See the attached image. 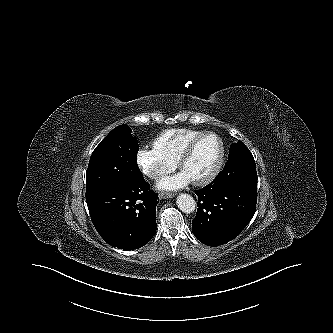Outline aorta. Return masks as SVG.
Listing matches in <instances>:
<instances>
[{
  "mask_svg": "<svg viewBox=\"0 0 333 333\" xmlns=\"http://www.w3.org/2000/svg\"><path fill=\"white\" fill-rule=\"evenodd\" d=\"M178 208L184 213H191L195 210V200L189 194H180L176 200Z\"/></svg>",
  "mask_w": 333,
  "mask_h": 333,
  "instance_id": "762f6f07",
  "label": "aorta"
}]
</instances>
